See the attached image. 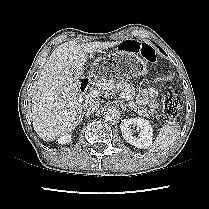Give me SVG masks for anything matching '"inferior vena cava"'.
<instances>
[{"mask_svg": "<svg viewBox=\"0 0 209 209\" xmlns=\"http://www.w3.org/2000/svg\"><path fill=\"white\" fill-rule=\"evenodd\" d=\"M99 101L97 99H87L83 105L84 111L87 114L94 113L99 108Z\"/></svg>", "mask_w": 209, "mask_h": 209, "instance_id": "obj_1", "label": "inferior vena cava"}]
</instances>
